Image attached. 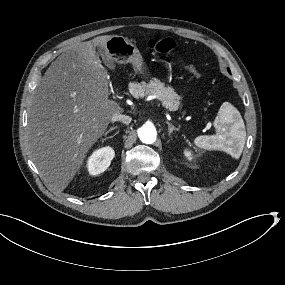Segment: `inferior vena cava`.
I'll return each mask as SVG.
<instances>
[{"instance_id": "obj_1", "label": "inferior vena cava", "mask_w": 285, "mask_h": 285, "mask_svg": "<svg viewBox=\"0 0 285 285\" xmlns=\"http://www.w3.org/2000/svg\"><path fill=\"white\" fill-rule=\"evenodd\" d=\"M130 120H131L130 117H128L126 115H122L120 113H115L111 119L112 122L120 121V122H123L125 124H128L130 122Z\"/></svg>"}]
</instances>
